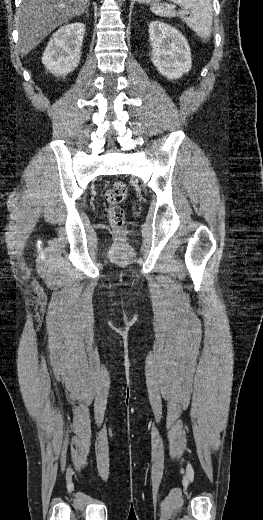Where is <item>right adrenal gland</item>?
<instances>
[{
  "label": "right adrenal gland",
  "instance_id": "obj_1",
  "mask_svg": "<svg viewBox=\"0 0 263 520\" xmlns=\"http://www.w3.org/2000/svg\"><path fill=\"white\" fill-rule=\"evenodd\" d=\"M86 14L87 17H89V10H88V7L86 9V11L84 12Z\"/></svg>",
  "mask_w": 263,
  "mask_h": 520
}]
</instances>
